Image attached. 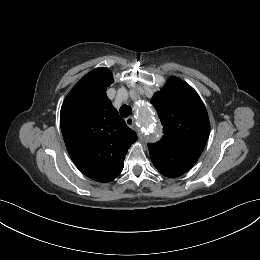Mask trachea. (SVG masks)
I'll return each instance as SVG.
<instances>
[{
    "label": "trachea",
    "mask_w": 260,
    "mask_h": 260,
    "mask_svg": "<svg viewBox=\"0 0 260 260\" xmlns=\"http://www.w3.org/2000/svg\"><path fill=\"white\" fill-rule=\"evenodd\" d=\"M132 113V109L130 106L128 105H122L120 107V115L123 117V118H127L130 114Z\"/></svg>",
    "instance_id": "trachea-1"
}]
</instances>
